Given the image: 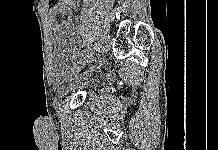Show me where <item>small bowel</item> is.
Instances as JSON below:
<instances>
[{"mask_svg":"<svg viewBox=\"0 0 218 150\" xmlns=\"http://www.w3.org/2000/svg\"><path fill=\"white\" fill-rule=\"evenodd\" d=\"M80 0H59L54 5L49 4L50 14L53 16L50 20L52 30L58 35H75V28L70 21L71 14L78 8ZM66 15L68 20L59 23L55 16Z\"/></svg>","mask_w":218,"mask_h":150,"instance_id":"c3829d8e","label":"small bowel"}]
</instances>
